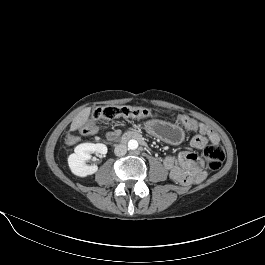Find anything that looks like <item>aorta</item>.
<instances>
[{
    "instance_id": "762f6f07",
    "label": "aorta",
    "mask_w": 265,
    "mask_h": 265,
    "mask_svg": "<svg viewBox=\"0 0 265 265\" xmlns=\"http://www.w3.org/2000/svg\"><path fill=\"white\" fill-rule=\"evenodd\" d=\"M128 148L130 150H136L138 148V142L137 140L131 139L128 141Z\"/></svg>"
}]
</instances>
